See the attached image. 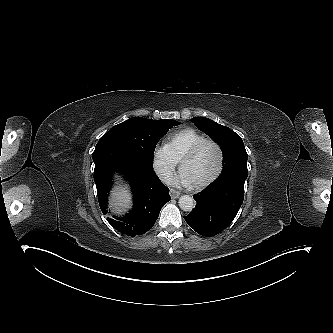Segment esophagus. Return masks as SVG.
Wrapping results in <instances>:
<instances>
[{"instance_id":"esophagus-1","label":"esophagus","mask_w":333,"mask_h":333,"mask_svg":"<svg viewBox=\"0 0 333 333\" xmlns=\"http://www.w3.org/2000/svg\"><path fill=\"white\" fill-rule=\"evenodd\" d=\"M170 195L173 199H176L180 196V192L176 191L175 189H170Z\"/></svg>"}]
</instances>
